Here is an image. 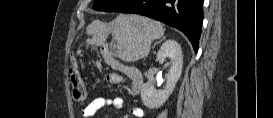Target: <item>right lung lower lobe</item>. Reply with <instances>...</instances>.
I'll list each match as a JSON object with an SVG mask.
<instances>
[{
  "label": "right lung lower lobe",
  "instance_id": "1",
  "mask_svg": "<svg viewBox=\"0 0 273 118\" xmlns=\"http://www.w3.org/2000/svg\"><path fill=\"white\" fill-rule=\"evenodd\" d=\"M203 0H130L116 12L132 13L151 17L183 32L190 40L194 51L203 22Z\"/></svg>",
  "mask_w": 273,
  "mask_h": 118
}]
</instances>
